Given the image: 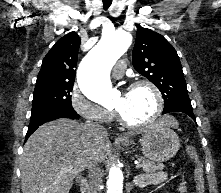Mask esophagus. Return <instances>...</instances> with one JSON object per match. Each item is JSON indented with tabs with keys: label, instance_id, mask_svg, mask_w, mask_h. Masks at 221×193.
I'll list each match as a JSON object with an SVG mask.
<instances>
[{
	"label": "esophagus",
	"instance_id": "esophagus-1",
	"mask_svg": "<svg viewBox=\"0 0 221 193\" xmlns=\"http://www.w3.org/2000/svg\"><path fill=\"white\" fill-rule=\"evenodd\" d=\"M118 138H119V139H124V136L121 135V134H119V135H118Z\"/></svg>",
	"mask_w": 221,
	"mask_h": 193
}]
</instances>
